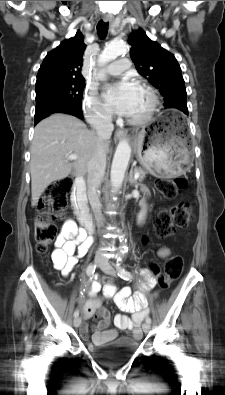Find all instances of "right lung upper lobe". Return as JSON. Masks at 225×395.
<instances>
[{"label": "right lung upper lobe", "mask_w": 225, "mask_h": 395, "mask_svg": "<svg viewBox=\"0 0 225 395\" xmlns=\"http://www.w3.org/2000/svg\"><path fill=\"white\" fill-rule=\"evenodd\" d=\"M85 48L80 31L64 40L45 57L38 71L36 85L51 81L85 80L81 74Z\"/></svg>", "instance_id": "right-lung-upper-lobe-1"}]
</instances>
